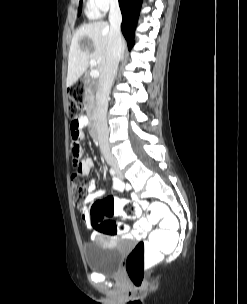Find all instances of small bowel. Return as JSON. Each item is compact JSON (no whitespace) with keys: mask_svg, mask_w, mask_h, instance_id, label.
Here are the masks:
<instances>
[{"mask_svg":"<svg viewBox=\"0 0 247 304\" xmlns=\"http://www.w3.org/2000/svg\"><path fill=\"white\" fill-rule=\"evenodd\" d=\"M88 125V118L85 116H82L78 119L77 122H72L70 129V150L72 151L70 154V162L72 163V167H77L78 170L83 175H88L92 168L94 167V161L90 157H85L84 152H81L84 150V145L80 144V141H82L83 137V128H85ZM115 190L121 191L124 189L123 183L120 181L114 182L113 185ZM87 196L85 198L84 206L80 209L82 218L85 220L87 226L89 228H94L90 213L86 207L87 204L93 202L97 198L101 197L104 194L103 190H96V183L94 180H91L88 182L87 186ZM150 230V225L146 224V219H140L135 224V227L132 231L127 232L124 237L125 238H137L140 236H145L147 232ZM102 235L100 232H94L93 238H97L98 236Z\"/></svg>","mask_w":247,"mask_h":304,"instance_id":"c3829d8e","label":"small bowel"}]
</instances>
